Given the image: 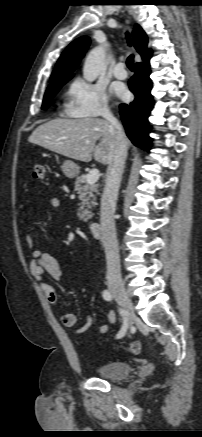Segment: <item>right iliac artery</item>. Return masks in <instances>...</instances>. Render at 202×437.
I'll return each mask as SVG.
<instances>
[{"instance_id": "82829eb1", "label": "right iliac artery", "mask_w": 202, "mask_h": 437, "mask_svg": "<svg viewBox=\"0 0 202 437\" xmlns=\"http://www.w3.org/2000/svg\"><path fill=\"white\" fill-rule=\"evenodd\" d=\"M102 296H103L104 300H106V301H112L113 300V296H112V294H111V292L109 290H104L102 292ZM119 313L122 316L124 322H123L121 330L116 335L117 339L122 338L125 335L127 327H128L127 319H126V316H125L126 315L125 310L120 308L119 309Z\"/></svg>"}]
</instances>
